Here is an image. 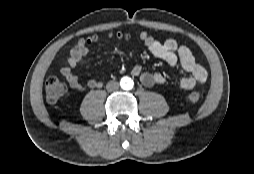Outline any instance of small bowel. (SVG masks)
Listing matches in <instances>:
<instances>
[{
	"label": "small bowel",
	"mask_w": 254,
	"mask_h": 174,
	"mask_svg": "<svg viewBox=\"0 0 254 174\" xmlns=\"http://www.w3.org/2000/svg\"><path fill=\"white\" fill-rule=\"evenodd\" d=\"M140 40L148 48L150 53L161 59L166 64L174 66L177 63L181 66L187 76L179 81V87L184 90H190L196 86L204 84L208 79L207 70L196 61L191 50L185 45H179L174 39H168L161 42L146 31L139 33ZM88 53L85 39H80L69 53L66 65L61 68V74L66 78L73 89L83 90L85 88H100L103 83L101 80L91 79L86 85H82L73 69L86 58ZM132 74L140 78L141 83L146 87L160 85L166 82V78L159 72H147L136 65L131 70Z\"/></svg>",
	"instance_id": "c3829d8e"
}]
</instances>
